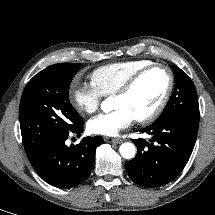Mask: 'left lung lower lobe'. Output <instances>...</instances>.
Segmentation results:
<instances>
[{"instance_id": "obj_1", "label": "left lung lower lobe", "mask_w": 215, "mask_h": 215, "mask_svg": "<svg viewBox=\"0 0 215 215\" xmlns=\"http://www.w3.org/2000/svg\"><path fill=\"white\" fill-rule=\"evenodd\" d=\"M152 135L150 143L133 140L136 157L126 163L129 177L143 187H159L176 178L188 162L195 145L198 124L182 119L152 123L140 129Z\"/></svg>"}]
</instances>
